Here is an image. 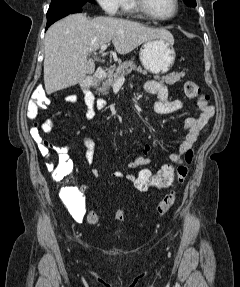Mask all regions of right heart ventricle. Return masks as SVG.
Segmentation results:
<instances>
[{
    "instance_id": "e07e8e85",
    "label": "right heart ventricle",
    "mask_w": 240,
    "mask_h": 287,
    "mask_svg": "<svg viewBox=\"0 0 240 287\" xmlns=\"http://www.w3.org/2000/svg\"><path fill=\"white\" fill-rule=\"evenodd\" d=\"M121 12L126 16L140 17L141 14L137 9L135 0H122L121 1Z\"/></svg>"
}]
</instances>
